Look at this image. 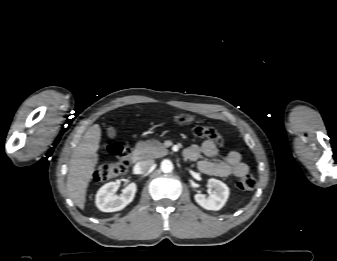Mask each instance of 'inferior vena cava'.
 <instances>
[{"label": "inferior vena cava", "mask_w": 337, "mask_h": 261, "mask_svg": "<svg viewBox=\"0 0 337 261\" xmlns=\"http://www.w3.org/2000/svg\"><path fill=\"white\" fill-rule=\"evenodd\" d=\"M154 164L153 159H144L136 163L135 169L138 173H144Z\"/></svg>", "instance_id": "obj_1"}]
</instances>
